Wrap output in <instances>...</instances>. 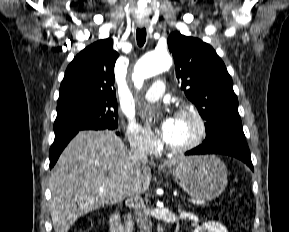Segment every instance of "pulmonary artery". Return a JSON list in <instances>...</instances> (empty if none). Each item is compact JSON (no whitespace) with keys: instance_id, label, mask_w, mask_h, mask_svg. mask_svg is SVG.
Instances as JSON below:
<instances>
[{"instance_id":"e3ab8cb5","label":"pulmonary artery","mask_w":289,"mask_h":232,"mask_svg":"<svg viewBox=\"0 0 289 232\" xmlns=\"http://www.w3.org/2000/svg\"><path fill=\"white\" fill-rule=\"evenodd\" d=\"M165 92V83L162 80H157L144 94V99L149 102H154L160 99Z\"/></svg>"}]
</instances>
